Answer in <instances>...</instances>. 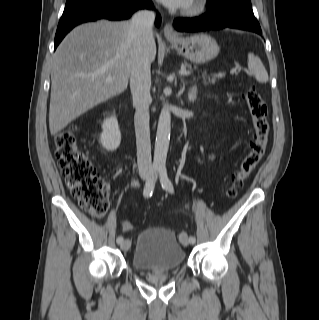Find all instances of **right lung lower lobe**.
<instances>
[{"instance_id": "98d812e1", "label": "right lung lower lobe", "mask_w": 319, "mask_h": 320, "mask_svg": "<svg viewBox=\"0 0 319 320\" xmlns=\"http://www.w3.org/2000/svg\"><path fill=\"white\" fill-rule=\"evenodd\" d=\"M142 8L152 9L153 4L150 0H91L75 9L64 11L55 35V49L78 24L98 19H126ZM160 19V15H157L156 25L160 24Z\"/></svg>"}]
</instances>
